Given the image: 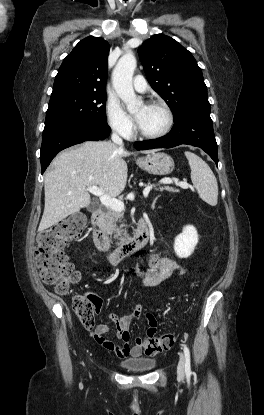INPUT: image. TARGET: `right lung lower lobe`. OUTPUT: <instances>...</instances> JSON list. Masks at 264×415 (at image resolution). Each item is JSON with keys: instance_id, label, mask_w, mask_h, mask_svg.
Returning <instances> with one entry per match:
<instances>
[{"instance_id": "obj_1", "label": "right lung lower lobe", "mask_w": 264, "mask_h": 415, "mask_svg": "<svg viewBox=\"0 0 264 415\" xmlns=\"http://www.w3.org/2000/svg\"><path fill=\"white\" fill-rule=\"evenodd\" d=\"M110 131L107 122L100 121H78L44 128L40 153L41 173H44L61 150L86 140H103Z\"/></svg>"}]
</instances>
